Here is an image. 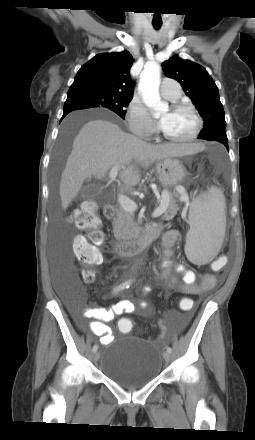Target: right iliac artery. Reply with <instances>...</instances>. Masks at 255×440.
<instances>
[{
	"instance_id": "82829eb1",
	"label": "right iliac artery",
	"mask_w": 255,
	"mask_h": 440,
	"mask_svg": "<svg viewBox=\"0 0 255 440\" xmlns=\"http://www.w3.org/2000/svg\"><path fill=\"white\" fill-rule=\"evenodd\" d=\"M131 283H132V280H128V281H126V282H124V283H122V284L116 286V287L114 288V292L117 293V292H119V291H121V290H124V289H126V288H129L130 285H131ZM97 350H98V346H97V345H94L93 348H92V351H93V352H96Z\"/></svg>"
}]
</instances>
